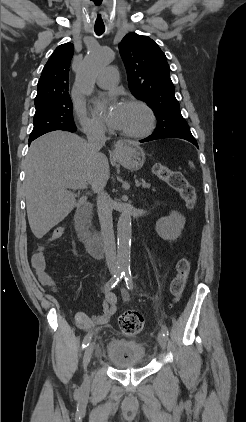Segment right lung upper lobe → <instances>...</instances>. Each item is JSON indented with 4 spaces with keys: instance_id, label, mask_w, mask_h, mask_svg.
I'll use <instances>...</instances> for the list:
<instances>
[{
    "instance_id": "right-lung-upper-lobe-1",
    "label": "right lung upper lobe",
    "mask_w": 246,
    "mask_h": 422,
    "mask_svg": "<svg viewBox=\"0 0 246 422\" xmlns=\"http://www.w3.org/2000/svg\"><path fill=\"white\" fill-rule=\"evenodd\" d=\"M74 54L72 43L58 46L42 70L38 81L35 107L40 108L69 96V68Z\"/></svg>"
}]
</instances>
